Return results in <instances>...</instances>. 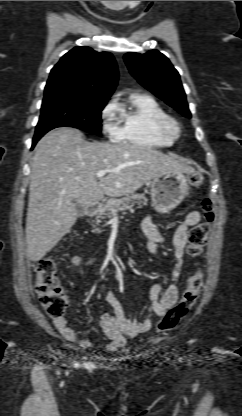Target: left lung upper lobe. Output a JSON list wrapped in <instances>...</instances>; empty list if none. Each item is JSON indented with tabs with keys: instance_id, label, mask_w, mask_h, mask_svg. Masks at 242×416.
<instances>
[{
	"instance_id": "5c2ea615",
	"label": "left lung upper lobe",
	"mask_w": 242,
	"mask_h": 416,
	"mask_svg": "<svg viewBox=\"0 0 242 416\" xmlns=\"http://www.w3.org/2000/svg\"><path fill=\"white\" fill-rule=\"evenodd\" d=\"M124 60L142 86L183 116L191 117L180 75L165 55L157 50L145 54L129 52L124 55Z\"/></svg>"
}]
</instances>
